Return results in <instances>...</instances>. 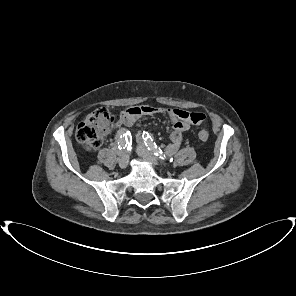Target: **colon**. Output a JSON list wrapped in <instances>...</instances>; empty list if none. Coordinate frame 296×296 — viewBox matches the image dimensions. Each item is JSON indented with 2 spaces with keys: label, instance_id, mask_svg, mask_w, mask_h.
<instances>
[{
  "label": "colon",
  "instance_id": "obj_1",
  "mask_svg": "<svg viewBox=\"0 0 296 296\" xmlns=\"http://www.w3.org/2000/svg\"><path fill=\"white\" fill-rule=\"evenodd\" d=\"M191 119L193 122H202L205 115L197 112L191 115ZM114 120V116L107 109H96L77 126L75 132L77 140L87 148H98L103 137L109 132ZM198 138L201 141H207L209 133L206 130H201L198 133Z\"/></svg>",
  "mask_w": 296,
  "mask_h": 296
}]
</instances>
